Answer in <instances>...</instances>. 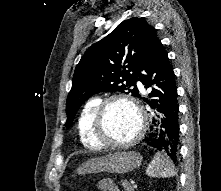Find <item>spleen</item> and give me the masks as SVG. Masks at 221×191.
I'll return each instance as SVG.
<instances>
[{"mask_svg":"<svg viewBox=\"0 0 221 191\" xmlns=\"http://www.w3.org/2000/svg\"><path fill=\"white\" fill-rule=\"evenodd\" d=\"M146 174L152 178H168L176 175L173 163L162 153H156Z\"/></svg>","mask_w":221,"mask_h":191,"instance_id":"3e777b00","label":"spleen"}]
</instances>
